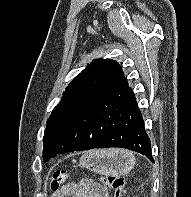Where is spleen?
<instances>
[{"label": "spleen", "instance_id": "1", "mask_svg": "<svg viewBox=\"0 0 191 197\" xmlns=\"http://www.w3.org/2000/svg\"><path fill=\"white\" fill-rule=\"evenodd\" d=\"M125 156L129 157L130 159H132L133 161H135V158L133 156V154L129 151L126 150H120Z\"/></svg>", "mask_w": 191, "mask_h": 197}]
</instances>
